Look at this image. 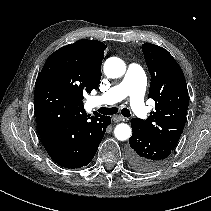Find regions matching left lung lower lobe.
<instances>
[{"mask_svg": "<svg viewBox=\"0 0 211 211\" xmlns=\"http://www.w3.org/2000/svg\"><path fill=\"white\" fill-rule=\"evenodd\" d=\"M132 136L129 139L128 159L133 169L150 172L160 168L173 150L150 136L135 120H131Z\"/></svg>", "mask_w": 211, "mask_h": 211, "instance_id": "left-lung-lower-lobe-1", "label": "left lung lower lobe"}]
</instances>
